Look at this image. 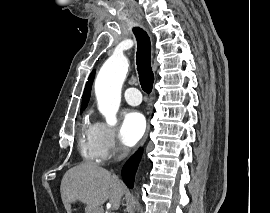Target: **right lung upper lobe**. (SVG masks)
<instances>
[{
  "instance_id": "obj_1",
  "label": "right lung upper lobe",
  "mask_w": 270,
  "mask_h": 213,
  "mask_svg": "<svg viewBox=\"0 0 270 213\" xmlns=\"http://www.w3.org/2000/svg\"><path fill=\"white\" fill-rule=\"evenodd\" d=\"M93 77H94V72L91 73V75L89 76L88 81L86 83L85 90L83 93L81 110L85 109V107L89 101Z\"/></svg>"
}]
</instances>
